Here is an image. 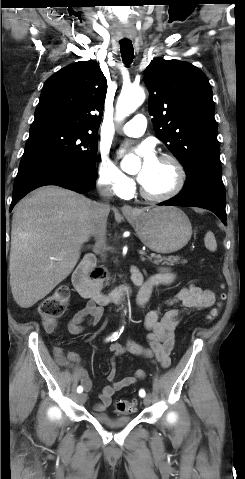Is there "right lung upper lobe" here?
I'll list each match as a JSON object with an SVG mask.
<instances>
[{"instance_id": "cb5924a9", "label": "right lung upper lobe", "mask_w": 245, "mask_h": 479, "mask_svg": "<svg viewBox=\"0 0 245 479\" xmlns=\"http://www.w3.org/2000/svg\"><path fill=\"white\" fill-rule=\"evenodd\" d=\"M106 92L107 80L97 62L68 65L46 80L31 127L62 125L97 132Z\"/></svg>"}]
</instances>
